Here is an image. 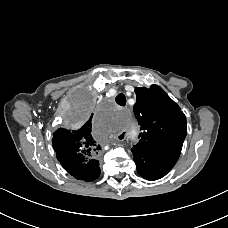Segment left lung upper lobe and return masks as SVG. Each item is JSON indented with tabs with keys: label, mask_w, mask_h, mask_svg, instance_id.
Instances as JSON below:
<instances>
[{
	"label": "left lung upper lobe",
	"mask_w": 228,
	"mask_h": 228,
	"mask_svg": "<svg viewBox=\"0 0 228 228\" xmlns=\"http://www.w3.org/2000/svg\"><path fill=\"white\" fill-rule=\"evenodd\" d=\"M135 92L133 110L142 131L133 148L179 157L187 134L180 107L157 85L137 87Z\"/></svg>",
	"instance_id": "5c2ea615"
}]
</instances>
